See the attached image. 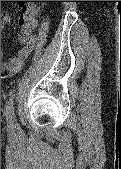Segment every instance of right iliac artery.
I'll list each match as a JSON object with an SVG mask.
<instances>
[{"mask_svg": "<svg viewBox=\"0 0 121 169\" xmlns=\"http://www.w3.org/2000/svg\"><path fill=\"white\" fill-rule=\"evenodd\" d=\"M10 100L6 107V115H7V122L9 127H14L15 124V117H14V109H13V92L10 94Z\"/></svg>", "mask_w": 121, "mask_h": 169, "instance_id": "1", "label": "right iliac artery"}]
</instances>
